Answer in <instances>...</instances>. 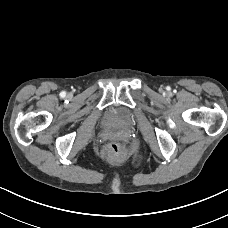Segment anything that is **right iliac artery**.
I'll use <instances>...</instances> for the list:
<instances>
[{"label": "right iliac artery", "mask_w": 228, "mask_h": 228, "mask_svg": "<svg viewBox=\"0 0 228 228\" xmlns=\"http://www.w3.org/2000/svg\"><path fill=\"white\" fill-rule=\"evenodd\" d=\"M66 95V92H61V96L64 97Z\"/></svg>", "instance_id": "obj_1"}]
</instances>
